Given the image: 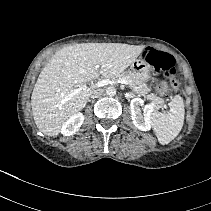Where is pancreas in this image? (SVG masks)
Masks as SVG:
<instances>
[{
  "mask_svg": "<svg viewBox=\"0 0 211 211\" xmlns=\"http://www.w3.org/2000/svg\"><path fill=\"white\" fill-rule=\"evenodd\" d=\"M121 79H125L128 82L129 88L132 89L134 93L138 94L139 96H145L147 100H150L157 107L164 105V100L162 98L153 93L148 94V92H150V88H148L147 84L137 79L131 71L119 73L113 78V80Z\"/></svg>",
  "mask_w": 211,
  "mask_h": 211,
  "instance_id": "1",
  "label": "pancreas"
}]
</instances>
